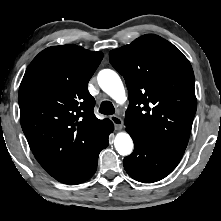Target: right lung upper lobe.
<instances>
[{
	"mask_svg": "<svg viewBox=\"0 0 221 221\" xmlns=\"http://www.w3.org/2000/svg\"><path fill=\"white\" fill-rule=\"evenodd\" d=\"M103 58L73 44L41 51L19 88L20 120L28 144L52 177L75 164L102 136L109 120L93 112L88 82Z\"/></svg>",
	"mask_w": 221,
	"mask_h": 221,
	"instance_id": "1",
	"label": "right lung upper lobe"
}]
</instances>
